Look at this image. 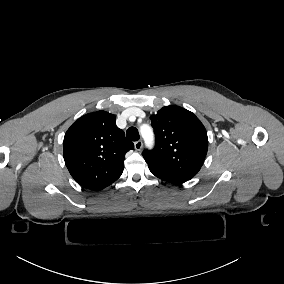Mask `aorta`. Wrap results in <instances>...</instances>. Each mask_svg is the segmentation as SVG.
<instances>
[{
  "mask_svg": "<svg viewBox=\"0 0 284 284\" xmlns=\"http://www.w3.org/2000/svg\"><path fill=\"white\" fill-rule=\"evenodd\" d=\"M141 134L145 140V144L151 146L153 144V132L150 126L144 125L141 127Z\"/></svg>",
  "mask_w": 284,
  "mask_h": 284,
  "instance_id": "1",
  "label": "aorta"
}]
</instances>
